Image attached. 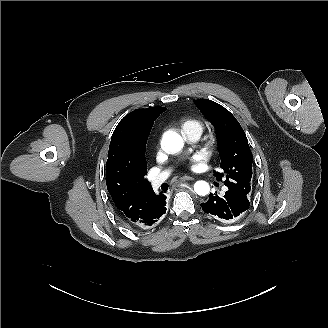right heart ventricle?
Wrapping results in <instances>:
<instances>
[{"mask_svg": "<svg viewBox=\"0 0 328 328\" xmlns=\"http://www.w3.org/2000/svg\"><path fill=\"white\" fill-rule=\"evenodd\" d=\"M207 124L201 118H189L181 122L180 130L183 136L186 139H192L193 136H196L198 140L206 131Z\"/></svg>", "mask_w": 328, "mask_h": 328, "instance_id": "1", "label": "right heart ventricle"}]
</instances>
